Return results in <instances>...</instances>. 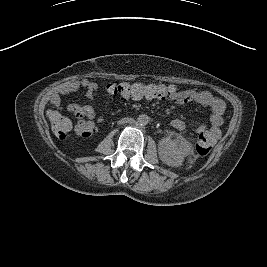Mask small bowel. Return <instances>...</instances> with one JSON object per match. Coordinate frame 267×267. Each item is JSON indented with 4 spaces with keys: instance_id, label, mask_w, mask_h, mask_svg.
<instances>
[{
    "instance_id": "obj_1",
    "label": "small bowel",
    "mask_w": 267,
    "mask_h": 267,
    "mask_svg": "<svg viewBox=\"0 0 267 267\" xmlns=\"http://www.w3.org/2000/svg\"><path fill=\"white\" fill-rule=\"evenodd\" d=\"M79 89L85 90L86 96L89 99H95L98 94V86L95 82L83 79L79 82H73L69 84L64 89V94L75 92ZM176 96L172 99V102L175 104H186V103H195L207 107L210 109L211 114L209 116V127L201 126L197 129V133H207L212 139L213 143L218 140L221 136V126L223 124V114L225 112L226 106L225 103L215 97L208 91H199L194 89H185L175 91ZM53 104L55 106H59L61 104V94L56 96L53 100ZM68 112L74 113L80 111L85 120V125H81L77 123L76 130L78 133L83 135L82 133L89 129L94 134L97 131V124L94 121L95 112L92 106L90 105H78V104H69L66 107ZM56 114L55 111L50 113V116H54ZM171 126L177 130H184L187 127V123L185 120L180 118H175L171 120ZM91 134V135H92ZM85 136V135H83Z\"/></svg>"
}]
</instances>
